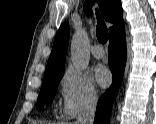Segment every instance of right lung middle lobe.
<instances>
[{"label":"right lung middle lobe","mask_w":156,"mask_h":124,"mask_svg":"<svg viewBox=\"0 0 156 124\" xmlns=\"http://www.w3.org/2000/svg\"><path fill=\"white\" fill-rule=\"evenodd\" d=\"M62 76L63 73H59L54 76L44 78V84L38 97V110H41L45 105H49L51 103Z\"/></svg>","instance_id":"right-lung-middle-lobe-1"}]
</instances>
